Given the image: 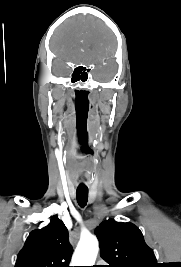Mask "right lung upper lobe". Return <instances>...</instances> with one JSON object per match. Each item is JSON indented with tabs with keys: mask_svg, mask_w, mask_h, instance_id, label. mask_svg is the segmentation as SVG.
Returning <instances> with one entry per match:
<instances>
[{
	"mask_svg": "<svg viewBox=\"0 0 181 267\" xmlns=\"http://www.w3.org/2000/svg\"><path fill=\"white\" fill-rule=\"evenodd\" d=\"M71 255L68 230L54 216L48 226L30 233L15 267H69Z\"/></svg>",
	"mask_w": 181,
	"mask_h": 267,
	"instance_id": "obj_1",
	"label": "right lung upper lobe"
}]
</instances>
